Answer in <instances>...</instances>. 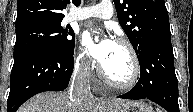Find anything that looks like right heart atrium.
<instances>
[{
	"label": "right heart atrium",
	"instance_id": "1",
	"mask_svg": "<svg viewBox=\"0 0 193 112\" xmlns=\"http://www.w3.org/2000/svg\"><path fill=\"white\" fill-rule=\"evenodd\" d=\"M74 67L82 74H89L92 69V63L85 55V53L79 50L75 55Z\"/></svg>",
	"mask_w": 193,
	"mask_h": 112
}]
</instances>
